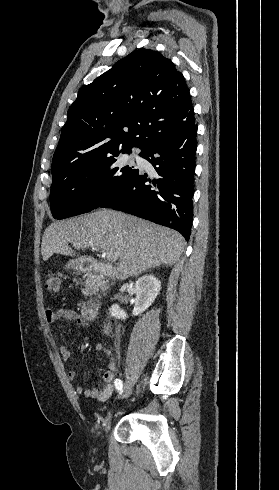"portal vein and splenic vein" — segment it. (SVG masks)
I'll list each match as a JSON object with an SVG mask.
<instances>
[{
  "instance_id": "portal-vein-and-splenic-vein-1",
  "label": "portal vein and splenic vein",
  "mask_w": 279,
  "mask_h": 490,
  "mask_svg": "<svg viewBox=\"0 0 279 490\" xmlns=\"http://www.w3.org/2000/svg\"><path fill=\"white\" fill-rule=\"evenodd\" d=\"M103 256H106L109 262H115V260H117V256H114V254H111V252H104Z\"/></svg>"
}]
</instances>
